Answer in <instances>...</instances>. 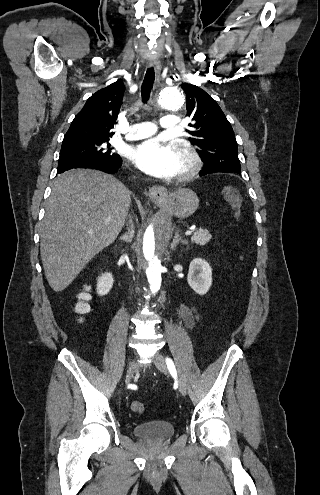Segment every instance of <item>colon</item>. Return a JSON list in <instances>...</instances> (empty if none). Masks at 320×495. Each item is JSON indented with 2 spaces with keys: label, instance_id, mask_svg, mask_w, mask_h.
<instances>
[{
  "label": "colon",
  "instance_id": "5ec220e1",
  "mask_svg": "<svg viewBox=\"0 0 320 495\" xmlns=\"http://www.w3.org/2000/svg\"><path fill=\"white\" fill-rule=\"evenodd\" d=\"M223 196L226 202L231 206L235 211H239L241 207V199L240 196L235 191V188L232 186H225L223 188ZM89 295L87 293H81L79 297V301L76 305L77 313L80 315H84L89 311ZM131 409L133 413L140 415L144 412L145 406L142 402L135 401L131 405Z\"/></svg>",
  "mask_w": 320,
  "mask_h": 495
}]
</instances>
